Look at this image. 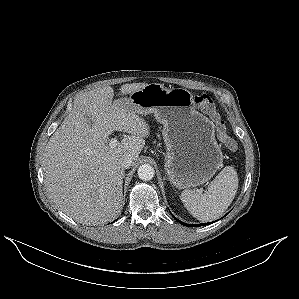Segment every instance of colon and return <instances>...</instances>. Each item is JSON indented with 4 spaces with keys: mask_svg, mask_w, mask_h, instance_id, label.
<instances>
[{
    "mask_svg": "<svg viewBox=\"0 0 299 299\" xmlns=\"http://www.w3.org/2000/svg\"><path fill=\"white\" fill-rule=\"evenodd\" d=\"M194 101L201 107V109L211 118L215 124V128L220 140L229 149L236 147L235 142L227 134L224 121L221 119L220 113L218 112L213 98L206 93L196 95Z\"/></svg>",
    "mask_w": 299,
    "mask_h": 299,
    "instance_id": "1",
    "label": "colon"
}]
</instances>
